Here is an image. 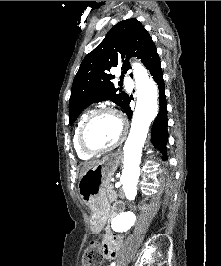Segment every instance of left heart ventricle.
I'll return each mask as SVG.
<instances>
[{
  "mask_svg": "<svg viewBox=\"0 0 221 266\" xmlns=\"http://www.w3.org/2000/svg\"><path fill=\"white\" fill-rule=\"evenodd\" d=\"M121 133L118 118L112 114L98 115L89 126L87 141L93 147H105L112 144Z\"/></svg>",
  "mask_w": 221,
  "mask_h": 266,
  "instance_id": "left-heart-ventricle-1",
  "label": "left heart ventricle"
}]
</instances>
